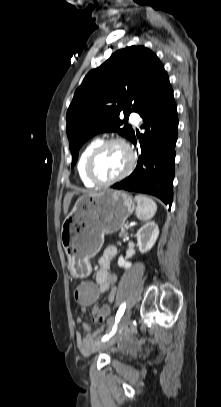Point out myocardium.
Wrapping results in <instances>:
<instances>
[{
    "label": "myocardium",
    "mask_w": 221,
    "mask_h": 407,
    "mask_svg": "<svg viewBox=\"0 0 221 407\" xmlns=\"http://www.w3.org/2000/svg\"><path fill=\"white\" fill-rule=\"evenodd\" d=\"M114 144L120 145L126 150V152L128 154V165L124 169V171L121 174H119L118 176H116L112 179H108V180H101L94 173V169H93L94 163H95L97 157L100 155V153L104 149H106L108 146L114 145ZM135 163H136V157H135V154H134L132 148L130 147V145L121 138H110V139L104 140L100 144H98L89 154V156L87 157L86 163H85V174H86L87 178L93 184L98 185V186H108V185H112L114 183H117V182L125 179L133 171V169L135 167Z\"/></svg>",
    "instance_id": "1"
}]
</instances>
